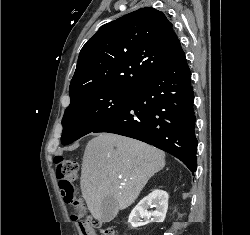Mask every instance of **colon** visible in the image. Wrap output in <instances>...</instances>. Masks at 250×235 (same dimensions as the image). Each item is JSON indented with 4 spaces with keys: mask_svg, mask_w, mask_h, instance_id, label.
<instances>
[{
    "mask_svg": "<svg viewBox=\"0 0 250 235\" xmlns=\"http://www.w3.org/2000/svg\"><path fill=\"white\" fill-rule=\"evenodd\" d=\"M54 164L64 201L76 211L73 218L79 221L83 235H93L94 228L98 226V223L85 215V207L76 195L74 183L79 175L78 163L62 156H56ZM103 235H115V229L113 227H107L104 229Z\"/></svg>",
    "mask_w": 250,
    "mask_h": 235,
    "instance_id": "obj_1",
    "label": "colon"
}]
</instances>
